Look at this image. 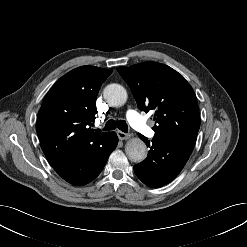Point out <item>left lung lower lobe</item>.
Masks as SVG:
<instances>
[{
  "label": "left lung lower lobe",
  "mask_w": 247,
  "mask_h": 247,
  "mask_svg": "<svg viewBox=\"0 0 247 247\" xmlns=\"http://www.w3.org/2000/svg\"><path fill=\"white\" fill-rule=\"evenodd\" d=\"M150 148L147 158L134 166L137 177L149 187H161L171 182L185 166L194 145L185 141L161 142L140 135Z\"/></svg>",
  "instance_id": "1"
}]
</instances>
